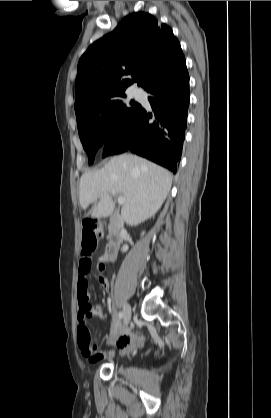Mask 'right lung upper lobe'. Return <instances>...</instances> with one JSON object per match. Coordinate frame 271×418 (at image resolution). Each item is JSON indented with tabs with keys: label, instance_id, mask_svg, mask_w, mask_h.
<instances>
[{
	"label": "right lung upper lobe",
	"instance_id": "cb5924a9",
	"mask_svg": "<svg viewBox=\"0 0 271 418\" xmlns=\"http://www.w3.org/2000/svg\"><path fill=\"white\" fill-rule=\"evenodd\" d=\"M183 61L180 43L169 26L149 13L129 14L80 58L76 116L124 94L136 81L147 91ZM129 75L132 79L127 78Z\"/></svg>",
	"mask_w": 271,
	"mask_h": 418
}]
</instances>
